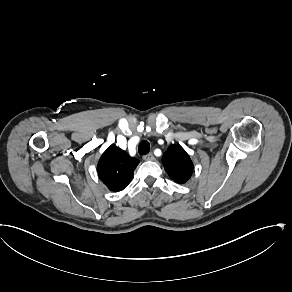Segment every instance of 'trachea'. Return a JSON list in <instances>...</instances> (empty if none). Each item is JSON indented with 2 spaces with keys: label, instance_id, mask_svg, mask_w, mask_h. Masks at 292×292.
Returning a JSON list of instances; mask_svg holds the SVG:
<instances>
[{
  "label": "trachea",
  "instance_id": "3493384b",
  "mask_svg": "<svg viewBox=\"0 0 292 292\" xmlns=\"http://www.w3.org/2000/svg\"><path fill=\"white\" fill-rule=\"evenodd\" d=\"M150 151V143L147 140H143L140 142L138 146V152L140 155H146Z\"/></svg>",
  "mask_w": 292,
  "mask_h": 292
}]
</instances>
